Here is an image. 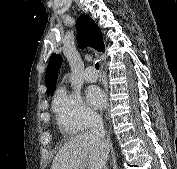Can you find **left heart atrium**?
<instances>
[{
  "instance_id": "left-heart-atrium-1",
  "label": "left heart atrium",
  "mask_w": 177,
  "mask_h": 169,
  "mask_svg": "<svg viewBox=\"0 0 177 169\" xmlns=\"http://www.w3.org/2000/svg\"><path fill=\"white\" fill-rule=\"evenodd\" d=\"M87 101L94 108H101L105 103V97L102 90L97 86H91L86 92Z\"/></svg>"
}]
</instances>
